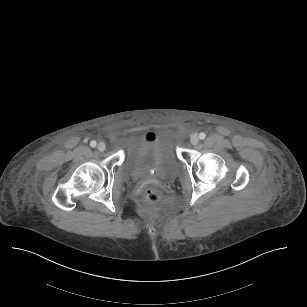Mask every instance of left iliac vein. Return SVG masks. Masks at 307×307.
<instances>
[{
  "label": "left iliac vein",
  "instance_id": "obj_1",
  "mask_svg": "<svg viewBox=\"0 0 307 307\" xmlns=\"http://www.w3.org/2000/svg\"><path fill=\"white\" fill-rule=\"evenodd\" d=\"M190 142L192 145H197L199 142V137L197 135H192L190 137Z\"/></svg>",
  "mask_w": 307,
  "mask_h": 307
}]
</instances>
